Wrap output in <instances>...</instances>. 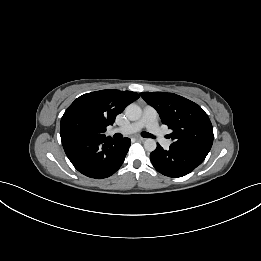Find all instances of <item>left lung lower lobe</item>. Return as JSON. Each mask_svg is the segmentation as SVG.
<instances>
[{
  "mask_svg": "<svg viewBox=\"0 0 261 261\" xmlns=\"http://www.w3.org/2000/svg\"><path fill=\"white\" fill-rule=\"evenodd\" d=\"M209 151L204 149L171 144L164 150L159 144L150 154L155 169L168 177H182L189 174L206 158Z\"/></svg>",
  "mask_w": 261,
  "mask_h": 261,
  "instance_id": "1",
  "label": "left lung lower lobe"
}]
</instances>
